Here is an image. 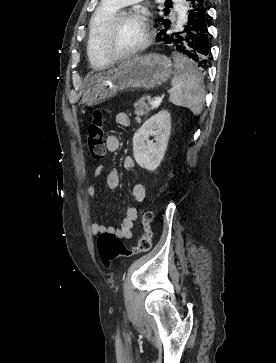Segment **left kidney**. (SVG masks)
Segmentation results:
<instances>
[{
    "instance_id": "left-kidney-1",
    "label": "left kidney",
    "mask_w": 276,
    "mask_h": 363,
    "mask_svg": "<svg viewBox=\"0 0 276 363\" xmlns=\"http://www.w3.org/2000/svg\"><path fill=\"white\" fill-rule=\"evenodd\" d=\"M171 133V117L161 110L146 120L133 136V156L136 163L148 171L156 170L167 149ZM150 136H155L154 142Z\"/></svg>"
}]
</instances>
